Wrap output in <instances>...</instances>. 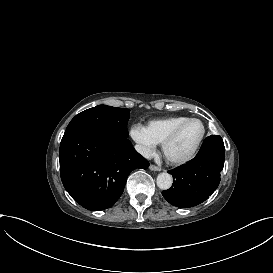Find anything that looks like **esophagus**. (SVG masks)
<instances>
[{
  "instance_id": "esophagus-1",
  "label": "esophagus",
  "mask_w": 273,
  "mask_h": 273,
  "mask_svg": "<svg viewBox=\"0 0 273 273\" xmlns=\"http://www.w3.org/2000/svg\"><path fill=\"white\" fill-rule=\"evenodd\" d=\"M149 168H150V170H152V171H161V168L158 167V166H156V165H154V164H151V165L149 166Z\"/></svg>"
}]
</instances>
